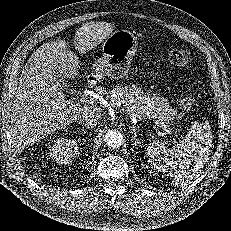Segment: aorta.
Returning a JSON list of instances; mask_svg holds the SVG:
<instances>
[{"label": "aorta", "mask_w": 231, "mask_h": 231, "mask_svg": "<svg viewBox=\"0 0 231 231\" xmlns=\"http://www.w3.org/2000/svg\"><path fill=\"white\" fill-rule=\"evenodd\" d=\"M104 142L108 147L118 148L123 143V135L116 129L108 130L104 135Z\"/></svg>", "instance_id": "762f6f07"}]
</instances>
